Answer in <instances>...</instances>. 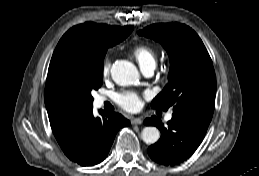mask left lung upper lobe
<instances>
[{
	"label": "left lung upper lobe",
	"mask_w": 259,
	"mask_h": 176,
	"mask_svg": "<svg viewBox=\"0 0 259 176\" xmlns=\"http://www.w3.org/2000/svg\"><path fill=\"white\" fill-rule=\"evenodd\" d=\"M139 35L161 43L170 57L168 84L152 101L153 108L173 114H188L210 122L216 76L212 60L202 40L190 27L180 23L150 25Z\"/></svg>",
	"instance_id": "obj_1"
}]
</instances>
